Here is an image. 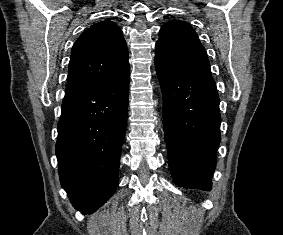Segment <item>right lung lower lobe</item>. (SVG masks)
<instances>
[{"label":"right lung lower lobe","mask_w":283,"mask_h":235,"mask_svg":"<svg viewBox=\"0 0 283 235\" xmlns=\"http://www.w3.org/2000/svg\"><path fill=\"white\" fill-rule=\"evenodd\" d=\"M130 72L65 93L56 156L73 206L91 214L115 192L124 142Z\"/></svg>","instance_id":"1"}]
</instances>
